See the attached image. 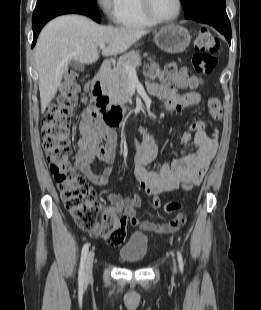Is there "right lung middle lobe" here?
Wrapping results in <instances>:
<instances>
[{
    "mask_svg": "<svg viewBox=\"0 0 261 310\" xmlns=\"http://www.w3.org/2000/svg\"><path fill=\"white\" fill-rule=\"evenodd\" d=\"M54 11L83 14L97 22L101 21L96 0H37L32 21Z\"/></svg>",
    "mask_w": 261,
    "mask_h": 310,
    "instance_id": "1",
    "label": "right lung middle lobe"
}]
</instances>
